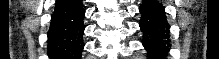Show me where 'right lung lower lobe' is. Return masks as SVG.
<instances>
[{
  "mask_svg": "<svg viewBox=\"0 0 219 59\" xmlns=\"http://www.w3.org/2000/svg\"><path fill=\"white\" fill-rule=\"evenodd\" d=\"M84 15L81 0H57L48 32L50 59H80Z\"/></svg>",
  "mask_w": 219,
  "mask_h": 59,
  "instance_id": "obj_1",
  "label": "right lung lower lobe"
}]
</instances>
